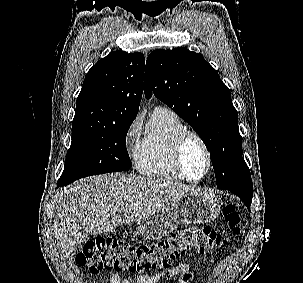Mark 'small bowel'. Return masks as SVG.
Returning <instances> with one entry per match:
<instances>
[{
    "label": "small bowel",
    "instance_id": "1",
    "mask_svg": "<svg viewBox=\"0 0 303 283\" xmlns=\"http://www.w3.org/2000/svg\"><path fill=\"white\" fill-rule=\"evenodd\" d=\"M186 273H190L189 265L182 263V264H178L170 271L165 273L156 274V275L139 274L136 280L137 283H160L161 281L167 278H172L178 275L183 276ZM104 283H130V281L127 278H122L117 274H112L105 278Z\"/></svg>",
    "mask_w": 303,
    "mask_h": 283
}]
</instances>
